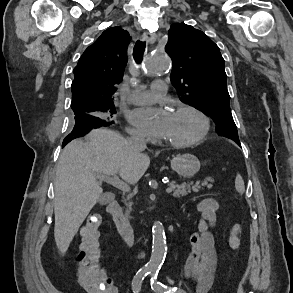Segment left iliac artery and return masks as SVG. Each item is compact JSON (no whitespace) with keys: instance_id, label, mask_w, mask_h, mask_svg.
<instances>
[{"instance_id":"44dca946","label":"left iliac artery","mask_w":293,"mask_h":293,"mask_svg":"<svg viewBox=\"0 0 293 293\" xmlns=\"http://www.w3.org/2000/svg\"><path fill=\"white\" fill-rule=\"evenodd\" d=\"M158 269H152L151 275V288L156 293H185L184 290L177 287H169L158 280Z\"/></svg>"}]
</instances>
